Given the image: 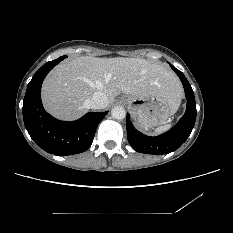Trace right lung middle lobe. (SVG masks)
Listing matches in <instances>:
<instances>
[{"label":"right lung middle lobe","mask_w":233,"mask_h":233,"mask_svg":"<svg viewBox=\"0 0 233 233\" xmlns=\"http://www.w3.org/2000/svg\"><path fill=\"white\" fill-rule=\"evenodd\" d=\"M66 57H67V56L64 55V56L59 57L57 60L61 61V60L65 59Z\"/></svg>","instance_id":"1"}]
</instances>
